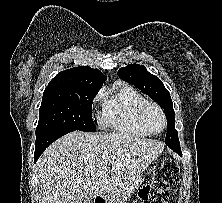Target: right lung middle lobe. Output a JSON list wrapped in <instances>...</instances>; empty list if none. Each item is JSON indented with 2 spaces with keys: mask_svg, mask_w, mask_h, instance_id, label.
I'll use <instances>...</instances> for the list:
<instances>
[{
  "mask_svg": "<svg viewBox=\"0 0 222 203\" xmlns=\"http://www.w3.org/2000/svg\"><path fill=\"white\" fill-rule=\"evenodd\" d=\"M97 93L98 90L91 89H45L36 136L64 129L96 131L91 107Z\"/></svg>",
  "mask_w": 222,
  "mask_h": 203,
  "instance_id": "dd1d6c3e",
  "label": "right lung middle lobe"
}]
</instances>
